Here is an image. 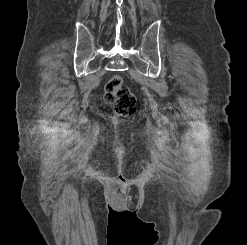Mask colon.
<instances>
[{"label": "colon", "mask_w": 247, "mask_h": 245, "mask_svg": "<svg viewBox=\"0 0 247 245\" xmlns=\"http://www.w3.org/2000/svg\"><path fill=\"white\" fill-rule=\"evenodd\" d=\"M104 99L119 116L129 115L136 104L134 94L123 84V79L118 74L111 76L107 81Z\"/></svg>", "instance_id": "5ec220e1"}]
</instances>
